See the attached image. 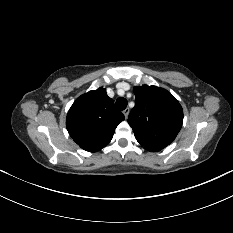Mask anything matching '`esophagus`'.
Segmentation results:
<instances>
[{"instance_id": "1", "label": "esophagus", "mask_w": 233, "mask_h": 233, "mask_svg": "<svg viewBox=\"0 0 233 233\" xmlns=\"http://www.w3.org/2000/svg\"><path fill=\"white\" fill-rule=\"evenodd\" d=\"M129 112H130L129 108H126V109L123 111V114H124L125 118H128Z\"/></svg>"}]
</instances>
